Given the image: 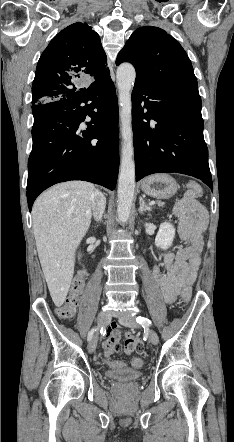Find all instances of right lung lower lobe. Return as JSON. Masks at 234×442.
Segmentation results:
<instances>
[{"label":"right lung lower lobe","mask_w":234,"mask_h":442,"mask_svg":"<svg viewBox=\"0 0 234 442\" xmlns=\"http://www.w3.org/2000/svg\"><path fill=\"white\" fill-rule=\"evenodd\" d=\"M32 112L27 181L30 211L37 196L59 182L84 180L115 189L118 101L110 76L96 80L79 96L32 105ZM86 116L91 122L81 131L79 125Z\"/></svg>","instance_id":"98d812e1"}]
</instances>
